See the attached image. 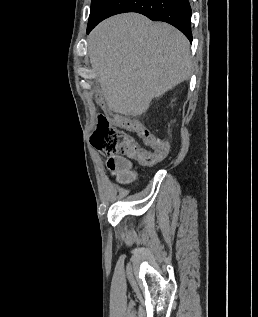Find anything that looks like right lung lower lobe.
I'll return each instance as SVG.
<instances>
[{"instance_id": "1", "label": "right lung lower lobe", "mask_w": 258, "mask_h": 317, "mask_svg": "<svg viewBox=\"0 0 258 317\" xmlns=\"http://www.w3.org/2000/svg\"><path fill=\"white\" fill-rule=\"evenodd\" d=\"M124 12H137L153 21L167 22L192 41L188 0H92L87 33L105 18Z\"/></svg>"}]
</instances>
